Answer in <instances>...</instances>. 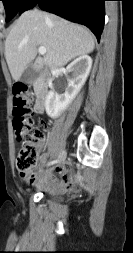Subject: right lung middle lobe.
<instances>
[{"mask_svg": "<svg viewBox=\"0 0 133 253\" xmlns=\"http://www.w3.org/2000/svg\"><path fill=\"white\" fill-rule=\"evenodd\" d=\"M3 1L6 11V21H10L22 8L26 0H0Z\"/></svg>", "mask_w": 133, "mask_h": 253, "instance_id": "1", "label": "right lung middle lobe"}]
</instances>
